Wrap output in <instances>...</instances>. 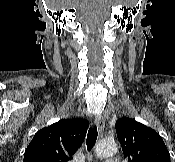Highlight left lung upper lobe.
<instances>
[{"instance_id": "1", "label": "left lung upper lobe", "mask_w": 175, "mask_h": 162, "mask_svg": "<svg viewBox=\"0 0 175 162\" xmlns=\"http://www.w3.org/2000/svg\"><path fill=\"white\" fill-rule=\"evenodd\" d=\"M116 133L128 162H170V154L161 136L132 118L116 121Z\"/></svg>"}]
</instances>
